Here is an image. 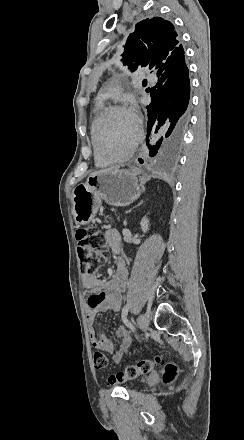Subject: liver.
<instances>
[{
    "label": "liver",
    "instance_id": "liver-1",
    "mask_svg": "<svg viewBox=\"0 0 244 440\" xmlns=\"http://www.w3.org/2000/svg\"><path fill=\"white\" fill-rule=\"evenodd\" d=\"M112 170H116V168H106V170H99V172H93L90 176H96V174H105V172H112Z\"/></svg>",
    "mask_w": 244,
    "mask_h": 440
}]
</instances>
